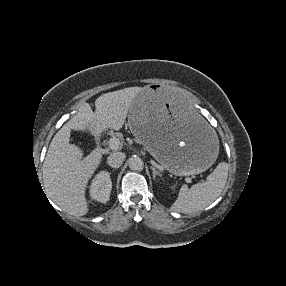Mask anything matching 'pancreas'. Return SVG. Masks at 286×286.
<instances>
[{
  "label": "pancreas",
  "instance_id": "pancreas-1",
  "mask_svg": "<svg viewBox=\"0 0 286 286\" xmlns=\"http://www.w3.org/2000/svg\"><path fill=\"white\" fill-rule=\"evenodd\" d=\"M118 138H119V139H121V138H122V136H121V135H118Z\"/></svg>",
  "mask_w": 286,
  "mask_h": 286
}]
</instances>
